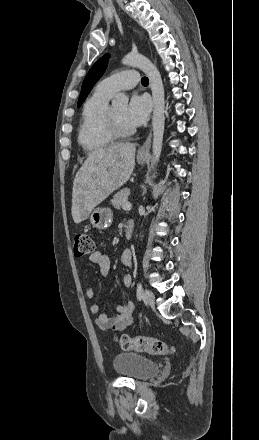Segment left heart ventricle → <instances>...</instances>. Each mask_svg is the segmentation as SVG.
Listing matches in <instances>:
<instances>
[{"instance_id": "left-heart-ventricle-1", "label": "left heart ventricle", "mask_w": 259, "mask_h": 440, "mask_svg": "<svg viewBox=\"0 0 259 440\" xmlns=\"http://www.w3.org/2000/svg\"><path fill=\"white\" fill-rule=\"evenodd\" d=\"M126 105L125 104H121V105H116L113 106V112L118 120V122L120 123V125L124 128H132V126H130L128 124V122L126 121L125 118V111H126Z\"/></svg>"}]
</instances>
